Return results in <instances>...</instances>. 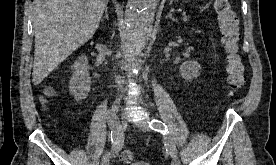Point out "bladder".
<instances>
[{
  "mask_svg": "<svg viewBox=\"0 0 276 165\" xmlns=\"http://www.w3.org/2000/svg\"><path fill=\"white\" fill-rule=\"evenodd\" d=\"M131 165H150V164H148L146 162H142V161H137V162L132 163Z\"/></svg>",
  "mask_w": 276,
  "mask_h": 165,
  "instance_id": "bladder-1",
  "label": "bladder"
}]
</instances>
